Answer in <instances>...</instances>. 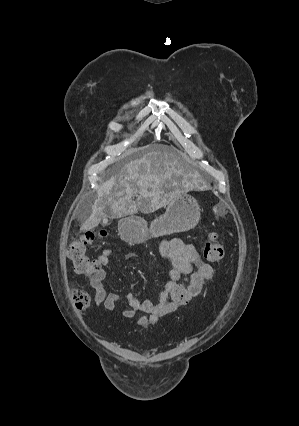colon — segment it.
<instances>
[{
    "instance_id": "obj_1",
    "label": "colon",
    "mask_w": 299,
    "mask_h": 426,
    "mask_svg": "<svg viewBox=\"0 0 299 426\" xmlns=\"http://www.w3.org/2000/svg\"><path fill=\"white\" fill-rule=\"evenodd\" d=\"M105 234V231L86 232L71 241L67 256L77 273L92 276L99 270L97 261L88 256L87 247ZM204 256L212 262L220 261L224 257V247L217 233L207 234L204 241ZM72 299L78 310H86L90 304L89 293L81 287L73 289ZM190 299L191 291L187 280L186 283H178L168 292L166 302L169 306L181 307L188 304Z\"/></svg>"
}]
</instances>
